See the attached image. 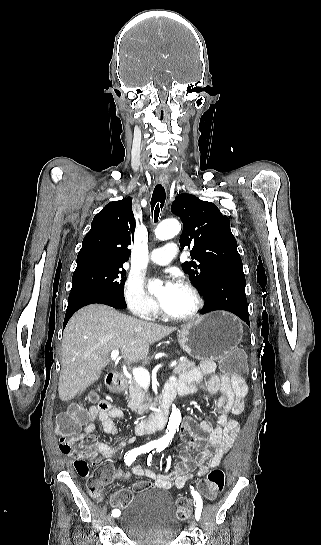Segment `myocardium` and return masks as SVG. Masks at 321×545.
Listing matches in <instances>:
<instances>
[{"instance_id": "1", "label": "myocardium", "mask_w": 321, "mask_h": 545, "mask_svg": "<svg viewBox=\"0 0 321 545\" xmlns=\"http://www.w3.org/2000/svg\"><path fill=\"white\" fill-rule=\"evenodd\" d=\"M180 287L189 291L194 297L195 299L194 309L189 314H186V315L170 314L166 312L165 310H163V314L167 319H170L173 321L186 322V321L194 320L200 315V313L202 312L204 308V304H205L204 298L201 292L199 291V289L190 282H182Z\"/></svg>"}]
</instances>
